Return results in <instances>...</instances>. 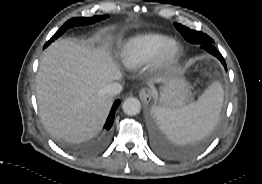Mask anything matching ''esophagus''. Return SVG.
Here are the masks:
<instances>
[{"label":"esophagus","mask_w":262,"mask_h":184,"mask_svg":"<svg viewBox=\"0 0 262 184\" xmlns=\"http://www.w3.org/2000/svg\"><path fill=\"white\" fill-rule=\"evenodd\" d=\"M139 97L144 103H148L152 99V91L149 88H142L139 91Z\"/></svg>","instance_id":"34e87169"}]
</instances>
